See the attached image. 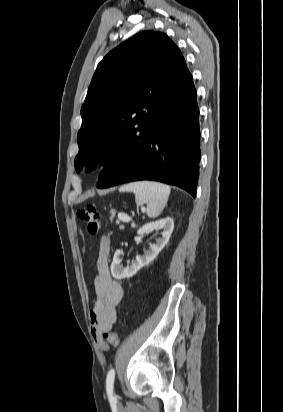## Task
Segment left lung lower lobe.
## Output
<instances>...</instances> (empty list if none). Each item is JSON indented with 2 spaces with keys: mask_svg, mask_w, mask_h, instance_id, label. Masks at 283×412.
<instances>
[{
  "mask_svg": "<svg viewBox=\"0 0 283 412\" xmlns=\"http://www.w3.org/2000/svg\"><path fill=\"white\" fill-rule=\"evenodd\" d=\"M199 111L189 74L149 129L124 144L100 173L98 188L152 180L197 193L200 160Z\"/></svg>",
  "mask_w": 283,
  "mask_h": 412,
  "instance_id": "left-lung-lower-lobe-1",
  "label": "left lung lower lobe"
}]
</instances>
